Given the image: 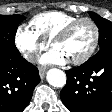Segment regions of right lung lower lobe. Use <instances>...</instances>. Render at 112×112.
<instances>
[{"label": "right lung lower lobe", "mask_w": 112, "mask_h": 112, "mask_svg": "<svg viewBox=\"0 0 112 112\" xmlns=\"http://www.w3.org/2000/svg\"><path fill=\"white\" fill-rule=\"evenodd\" d=\"M39 82L38 69L21 55H0V112H22Z\"/></svg>", "instance_id": "98d812e1"}]
</instances>
